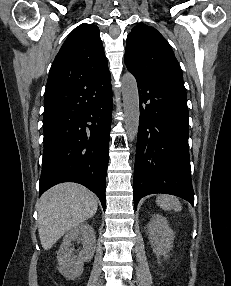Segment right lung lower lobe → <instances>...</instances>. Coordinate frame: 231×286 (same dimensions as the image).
I'll use <instances>...</instances> for the list:
<instances>
[{
    "mask_svg": "<svg viewBox=\"0 0 231 286\" xmlns=\"http://www.w3.org/2000/svg\"><path fill=\"white\" fill-rule=\"evenodd\" d=\"M111 114L110 74L81 83L45 111L40 195L58 183L76 182L93 191L105 209Z\"/></svg>",
    "mask_w": 231,
    "mask_h": 286,
    "instance_id": "1",
    "label": "right lung lower lobe"
}]
</instances>
